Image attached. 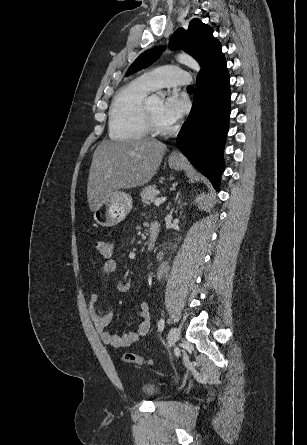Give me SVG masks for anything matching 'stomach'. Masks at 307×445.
<instances>
[{
    "label": "stomach",
    "instance_id": "obj_1",
    "mask_svg": "<svg viewBox=\"0 0 307 445\" xmlns=\"http://www.w3.org/2000/svg\"><path fill=\"white\" fill-rule=\"evenodd\" d=\"M170 168L180 170L181 162H172L169 160ZM132 196L123 190H115L109 198L103 200L100 206L94 210V220L101 227H116L121 220L126 218L132 208Z\"/></svg>",
    "mask_w": 307,
    "mask_h": 445
}]
</instances>
